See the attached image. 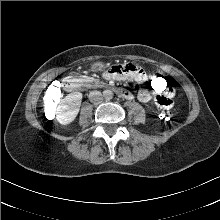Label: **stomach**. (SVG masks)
Listing matches in <instances>:
<instances>
[{
    "instance_id": "stomach-1",
    "label": "stomach",
    "mask_w": 220,
    "mask_h": 220,
    "mask_svg": "<svg viewBox=\"0 0 220 220\" xmlns=\"http://www.w3.org/2000/svg\"><path fill=\"white\" fill-rule=\"evenodd\" d=\"M105 69V65L101 62H96L91 65V70L92 71H102Z\"/></svg>"
}]
</instances>
